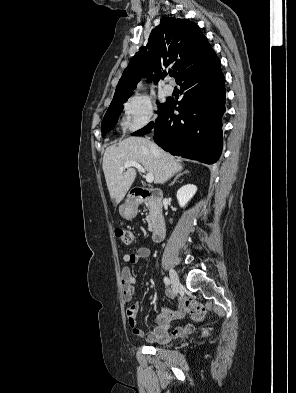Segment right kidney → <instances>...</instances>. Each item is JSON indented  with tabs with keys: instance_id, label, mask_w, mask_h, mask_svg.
Here are the masks:
<instances>
[{
	"instance_id": "right-kidney-1",
	"label": "right kidney",
	"mask_w": 296,
	"mask_h": 393,
	"mask_svg": "<svg viewBox=\"0 0 296 393\" xmlns=\"http://www.w3.org/2000/svg\"><path fill=\"white\" fill-rule=\"evenodd\" d=\"M197 191L196 185L187 184L177 191V200L181 208L185 207L188 201L194 196Z\"/></svg>"
}]
</instances>
